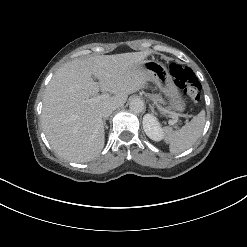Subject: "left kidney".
I'll return each instance as SVG.
<instances>
[{
    "instance_id": "1",
    "label": "left kidney",
    "mask_w": 247,
    "mask_h": 247,
    "mask_svg": "<svg viewBox=\"0 0 247 247\" xmlns=\"http://www.w3.org/2000/svg\"><path fill=\"white\" fill-rule=\"evenodd\" d=\"M143 129L146 135L154 140L160 141L163 139V129L161 128L158 120L152 114H146L143 118Z\"/></svg>"
}]
</instances>
